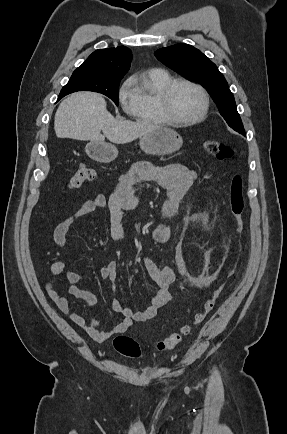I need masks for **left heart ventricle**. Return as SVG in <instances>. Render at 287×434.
<instances>
[{"label": "left heart ventricle", "instance_id": "b2bd125f", "mask_svg": "<svg viewBox=\"0 0 287 434\" xmlns=\"http://www.w3.org/2000/svg\"><path fill=\"white\" fill-rule=\"evenodd\" d=\"M202 109L200 93L193 87L185 84L177 85L171 95V110L179 119L196 117Z\"/></svg>", "mask_w": 287, "mask_h": 434}]
</instances>
